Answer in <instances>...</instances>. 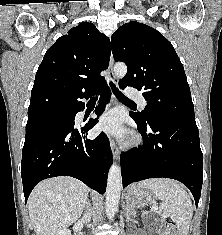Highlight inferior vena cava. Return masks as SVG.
I'll use <instances>...</instances> for the list:
<instances>
[{"instance_id":"602c4592","label":"inferior vena cava","mask_w":222,"mask_h":235,"mask_svg":"<svg viewBox=\"0 0 222 235\" xmlns=\"http://www.w3.org/2000/svg\"><path fill=\"white\" fill-rule=\"evenodd\" d=\"M89 211H90V210H89ZM90 219H91V214H90V212H86V213L84 214V216H83V221H84L85 223H87V222L90 221Z\"/></svg>"}]
</instances>
